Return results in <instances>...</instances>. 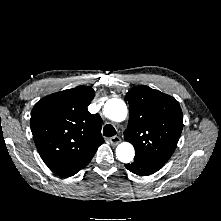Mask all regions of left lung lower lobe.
Segmentation results:
<instances>
[{"mask_svg":"<svg viewBox=\"0 0 221 221\" xmlns=\"http://www.w3.org/2000/svg\"><path fill=\"white\" fill-rule=\"evenodd\" d=\"M163 165L161 162L134 157V162L125 164V167L137 175L147 176L157 172Z\"/></svg>","mask_w":221,"mask_h":221,"instance_id":"0a47b994","label":"left lung lower lobe"}]
</instances>
